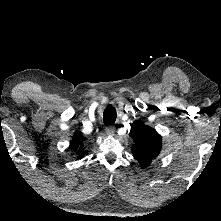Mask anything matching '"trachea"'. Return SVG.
I'll use <instances>...</instances> for the list:
<instances>
[{"instance_id":"obj_1","label":"trachea","mask_w":221,"mask_h":221,"mask_svg":"<svg viewBox=\"0 0 221 221\" xmlns=\"http://www.w3.org/2000/svg\"><path fill=\"white\" fill-rule=\"evenodd\" d=\"M103 117L105 125L114 124L117 117L116 109L113 106L108 105L104 110Z\"/></svg>"}]
</instances>
